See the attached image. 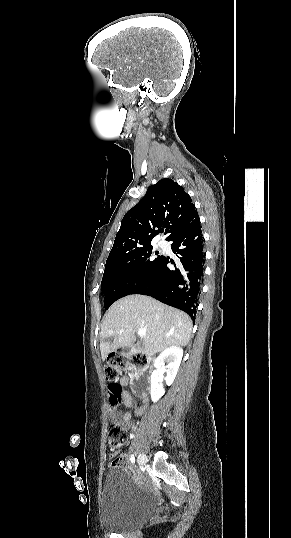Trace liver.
<instances>
[{
	"mask_svg": "<svg viewBox=\"0 0 291 538\" xmlns=\"http://www.w3.org/2000/svg\"><path fill=\"white\" fill-rule=\"evenodd\" d=\"M138 329L146 330L144 349L158 353L171 346H186L192 321L186 313L148 296L136 294L121 298L109 308L101 324L102 360L119 348L132 346ZM110 337L112 343L105 341Z\"/></svg>",
	"mask_w": 291,
	"mask_h": 538,
	"instance_id": "liver-1",
	"label": "liver"
}]
</instances>
